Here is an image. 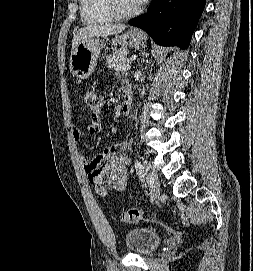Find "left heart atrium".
Segmentation results:
<instances>
[{
  "mask_svg": "<svg viewBox=\"0 0 253 271\" xmlns=\"http://www.w3.org/2000/svg\"><path fill=\"white\" fill-rule=\"evenodd\" d=\"M146 0H138V2L141 4V3H144Z\"/></svg>",
  "mask_w": 253,
  "mask_h": 271,
  "instance_id": "left-heart-atrium-1",
  "label": "left heart atrium"
}]
</instances>
